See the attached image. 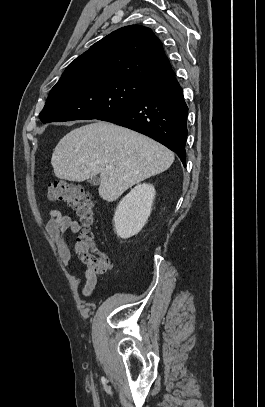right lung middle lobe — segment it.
I'll return each instance as SVG.
<instances>
[{
    "label": "right lung middle lobe",
    "instance_id": "obj_1",
    "mask_svg": "<svg viewBox=\"0 0 265 407\" xmlns=\"http://www.w3.org/2000/svg\"><path fill=\"white\" fill-rule=\"evenodd\" d=\"M150 89L137 81L99 74L67 78L52 88L39 118L43 123L98 119L137 103Z\"/></svg>",
    "mask_w": 265,
    "mask_h": 407
}]
</instances>
